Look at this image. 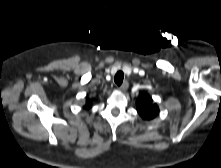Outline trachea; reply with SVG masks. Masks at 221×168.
<instances>
[{
	"mask_svg": "<svg viewBox=\"0 0 221 168\" xmlns=\"http://www.w3.org/2000/svg\"><path fill=\"white\" fill-rule=\"evenodd\" d=\"M123 78H124L123 72H122V71H119V72L115 75L114 81H115V83H116L118 86H120V85L122 84V82H123Z\"/></svg>",
	"mask_w": 221,
	"mask_h": 168,
	"instance_id": "1",
	"label": "trachea"
}]
</instances>
